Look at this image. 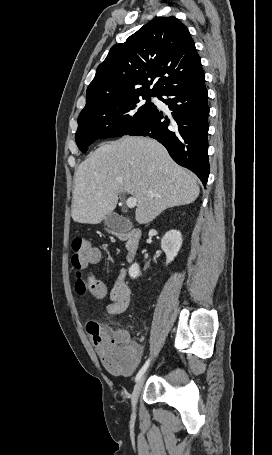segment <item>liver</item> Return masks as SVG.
I'll return each instance as SVG.
<instances>
[{
	"instance_id": "6515ba94",
	"label": "liver",
	"mask_w": 272,
	"mask_h": 455,
	"mask_svg": "<svg viewBox=\"0 0 272 455\" xmlns=\"http://www.w3.org/2000/svg\"><path fill=\"white\" fill-rule=\"evenodd\" d=\"M122 192L137 199L136 221L147 224L167 208L194 202L200 188L159 142L126 136L100 145L79 165L72 219L100 223L116 208Z\"/></svg>"
}]
</instances>
